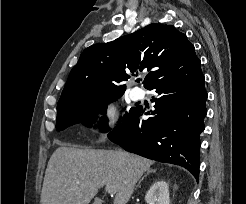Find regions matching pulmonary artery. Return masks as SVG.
Returning <instances> with one entry per match:
<instances>
[{"instance_id":"pulmonary-artery-1","label":"pulmonary artery","mask_w":246,"mask_h":204,"mask_svg":"<svg viewBox=\"0 0 246 204\" xmlns=\"http://www.w3.org/2000/svg\"><path fill=\"white\" fill-rule=\"evenodd\" d=\"M130 97L134 101H139L143 98V92L139 88H134L130 93Z\"/></svg>"}]
</instances>
